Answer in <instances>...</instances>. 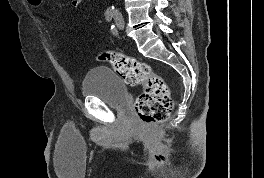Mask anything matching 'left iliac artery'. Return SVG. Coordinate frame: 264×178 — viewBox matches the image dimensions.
Instances as JSON below:
<instances>
[{
    "label": "left iliac artery",
    "mask_w": 264,
    "mask_h": 178,
    "mask_svg": "<svg viewBox=\"0 0 264 178\" xmlns=\"http://www.w3.org/2000/svg\"><path fill=\"white\" fill-rule=\"evenodd\" d=\"M111 31L114 35H117V30L115 29L114 25L111 26Z\"/></svg>",
    "instance_id": "44dca946"
}]
</instances>
